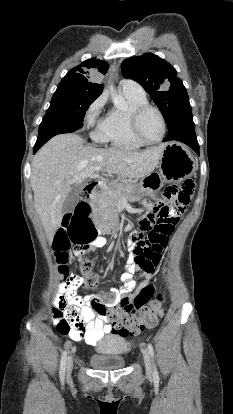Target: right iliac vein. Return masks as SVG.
Segmentation results:
<instances>
[{"mask_svg":"<svg viewBox=\"0 0 233 414\" xmlns=\"http://www.w3.org/2000/svg\"><path fill=\"white\" fill-rule=\"evenodd\" d=\"M72 367H73V360H72V357H69L67 360V365H66V373L68 377L71 374Z\"/></svg>","mask_w":233,"mask_h":414,"instance_id":"1","label":"right iliac vein"}]
</instances>
